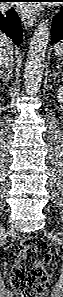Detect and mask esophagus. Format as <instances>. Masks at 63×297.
I'll return each mask as SVG.
<instances>
[{"instance_id": "obj_1", "label": "esophagus", "mask_w": 63, "mask_h": 297, "mask_svg": "<svg viewBox=\"0 0 63 297\" xmlns=\"http://www.w3.org/2000/svg\"><path fill=\"white\" fill-rule=\"evenodd\" d=\"M21 20L23 21L24 25L27 27H33L36 25V17L33 15L22 14Z\"/></svg>"}]
</instances>
